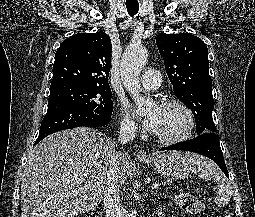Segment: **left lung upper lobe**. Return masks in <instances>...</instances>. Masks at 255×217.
I'll return each mask as SVG.
<instances>
[{
	"label": "left lung upper lobe",
	"instance_id": "obj_1",
	"mask_svg": "<svg viewBox=\"0 0 255 217\" xmlns=\"http://www.w3.org/2000/svg\"><path fill=\"white\" fill-rule=\"evenodd\" d=\"M156 44L175 96L194 114L197 135L217 132L212 118L214 99L205 43L189 33H161Z\"/></svg>",
	"mask_w": 255,
	"mask_h": 217
}]
</instances>
